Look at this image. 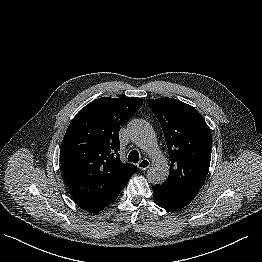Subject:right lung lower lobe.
<instances>
[{
  "label": "right lung lower lobe",
  "instance_id": "right-lung-lower-lobe-1",
  "mask_svg": "<svg viewBox=\"0 0 262 262\" xmlns=\"http://www.w3.org/2000/svg\"><path fill=\"white\" fill-rule=\"evenodd\" d=\"M104 208H102V209H93V210H86V211H88V212H90V213H97V212H99V211H101V210H103Z\"/></svg>",
  "mask_w": 262,
  "mask_h": 262
}]
</instances>
